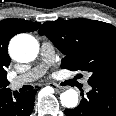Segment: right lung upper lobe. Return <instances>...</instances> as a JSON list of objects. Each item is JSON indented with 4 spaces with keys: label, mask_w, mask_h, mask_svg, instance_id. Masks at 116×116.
Wrapping results in <instances>:
<instances>
[{
    "label": "right lung upper lobe",
    "mask_w": 116,
    "mask_h": 116,
    "mask_svg": "<svg viewBox=\"0 0 116 116\" xmlns=\"http://www.w3.org/2000/svg\"><path fill=\"white\" fill-rule=\"evenodd\" d=\"M39 22L10 18L0 21V96L10 89L7 87V71L11 58L7 47L10 39L19 33L35 31L40 27Z\"/></svg>",
    "instance_id": "cb5924a9"
}]
</instances>
